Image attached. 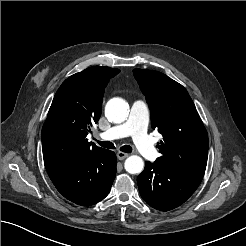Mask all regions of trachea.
Segmentation results:
<instances>
[{"label": "trachea", "mask_w": 246, "mask_h": 246, "mask_svg": "<svg viewBox=\"0 0 246 246\" xmlns=\"http://www.w3.org/2000/svg\"><path fill=\"white\" fill-rule=\"evenodd\" d=\"M98 144L104 148H108V149H115V146L112 142H109V141H97ZM120 150L122 152H125V153H131L132 152V147L129 146V145H124L120 148Z\"/></svg>", "instance_id": "trachea-1"}]
</instances>
